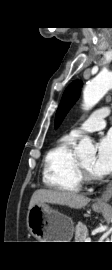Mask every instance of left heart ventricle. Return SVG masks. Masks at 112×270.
<instances>
[{
    "mask_svg": "<svg viewBox=\"0 0 112 270\" xmlns=\"http://www.w3.org/2000/svg\"><path fill=\"white\" fill-rule=\"evenodd\" d=\"M93 161H94L93 157L80 160L83 166L87 168L89 171H91V166H92Z\"/></svg>",
    "mask_w": 112,
    "mask_h": 270,
    "instance_id": "obj_1",
    "label": "left heart ventricle"
}]
</instances>
